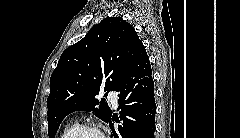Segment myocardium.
I'll use <instances>...</instances> for the list:
<instances>
[{"label": "myocardium", "instance_id": "obj_1", "mask_svg": "<svg viewBox=\"0 0 240 138\" xmlns=\"http://www.w3.org/2000/svg\"><path fill=\"white\" fill-rule=\"evenodd\" d=\"M87 130H92V131H96L98 133H100V135L102 136V138H104V134L102 132V130L100 129V127L94 123H84V124H80L78 125L69 135L67 138H78L80 136L81 133H83L84 131Z\"/></svg>", "mask_w": 240, "mask_h": 138}]
</instances>
